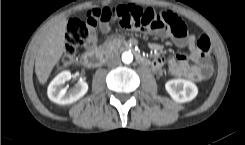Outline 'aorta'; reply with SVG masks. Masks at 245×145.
I'll return each instance as SVG.
<instances>
[{"label": "aorta", "instance_id": "aorta-1", "mask_svg": "<svg viewBox=\"0 0 245 145\" xmlns=\"http://www.w3.org/2000/svg\"><path fill=\"white\" fill-rule=\"evenodd\" d=\"M122 61L126 64H129L133 61V55L131 52H124L122 54Z\"/></svg>", "mask_w": 245, "mask_h": 145}]
</instances>
